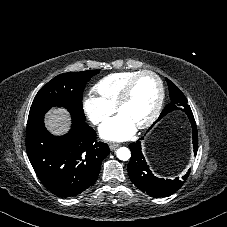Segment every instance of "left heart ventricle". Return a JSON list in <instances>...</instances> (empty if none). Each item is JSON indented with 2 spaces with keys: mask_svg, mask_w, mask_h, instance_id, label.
Returning <instances> with one entry per match:
<instances>
[{
  "mask_svg": "<svg viewBox=\"0 0 227 227\" xmlns=\"http://www.w3.org/2000/svg\"><path fill=\"white\" fill-rule=\"evenodd\" d=\"M157 81L150 75L141 76L130 99L122 105L119 114L126 116L135 126L144 122L153 111L158 98Z\"/></svg>",
  "mask_w": 227,
  "mask_h": 227,
  "instance_id": "obj_1",
  "label": "left heart ventricle"
}]
</instances>
